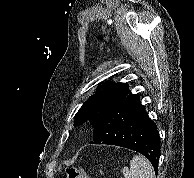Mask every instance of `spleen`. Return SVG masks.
I'll list each match as a JSON object with an SVG mask.
<instances>
[{
    "label": "spleen",
    "mask_w": 194,
    "mask_h": 178,
    "mask_svg": "<svg viewBox=\"0 0 194 178\" xmlns=\"http://www.w3.org/2000/svg\"><path fill=\"white\" fill-rule=\"evenodd\" d=\"M123 175L124 178H155L152 165L141 155L132 158L130 168L124 167Z\"/></svg>",
    "instance_id": "obj_1"
}]
</instances>
